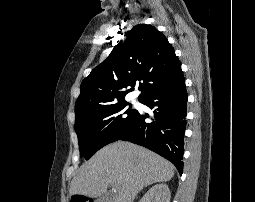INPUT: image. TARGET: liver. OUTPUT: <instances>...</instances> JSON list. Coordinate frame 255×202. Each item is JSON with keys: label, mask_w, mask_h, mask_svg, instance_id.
I'll return each mask as SVG.
<instances>
[{"label": "liver", "mask_w": 255, "mask_h": 202, "mask_svg": "<svg viewBox=\"0 0 255 202\" xmlns=\"http://www.w3.org/2000/svg\"><path fill=\"white\" fill-rule=\"evenodd\" d=\"M174 166L152 151L117 141L100 149L72 179L69 194L100 197L112 185L117 191L113 202H133L144 187L167 182Z\"/></svg>", "instance_id": "liver-1"}]
</instances>
